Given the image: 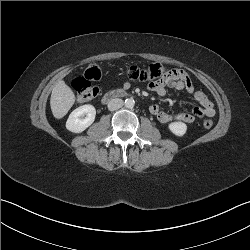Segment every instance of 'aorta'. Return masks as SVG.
<instances>
[{
    "label": "aorta",
    "mask_w": 250,
    "mask_h": 250,
    "mask_svg": "<svg viewBox=\"0 0 250 250\" xmlns=\"http://www.w3.org/2000/svg\"><path fill=\"white\" fill-rule=\"evenodd\" d=\"M134 105H135V101H134L133 98H127L125 100V106H126V108L131 109V108L134 107Z\"/></svg>",
    "instance_id": "aorta-1"
}]
</instances>
